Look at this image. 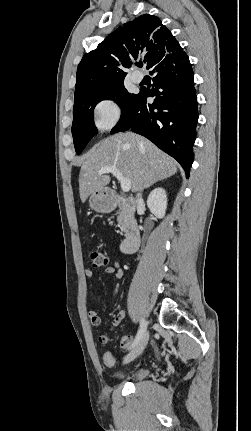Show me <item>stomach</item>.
Listing matches in <instances>:
<instances>
[{
    "label": "stomach",
    "mask_w": 251,
    "mask_h": 431,
    "mask_svg": "<svg viewBox=\"0 0 251 431\" xmlns=\"http://www.w3.org/2000/svg\"><path fill=\"white\" fill-rule=\"evenodd\" d=\"M89 205L96 212L109 213L115 208L116 203L112 193L107 189H102L90 194Z\"/></svg>",
    "instance_id": "stomach-1"
}]
</instances>
